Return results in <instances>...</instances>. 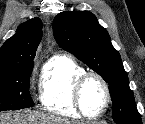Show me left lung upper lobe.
<instances>
[{
    "label": "left lung upper lobe",
    "mask_w": 145,
    "mask_h": 124,
    "mask_svg": "<svg viewBox=\"0 0 145 124\" xmlns=\"http://www.w3.org/2000/svg\"><path fill=\"white\" fill-rule=\"evenodd\" d=\"M53 33L61 48L75 55L109 83L114 122L142 124L120 54L96 17L88 11H63L53 20Z\"/></svg>",
    "instance_id": "left-lung-upper-lobe-1"
}]
</instances>
